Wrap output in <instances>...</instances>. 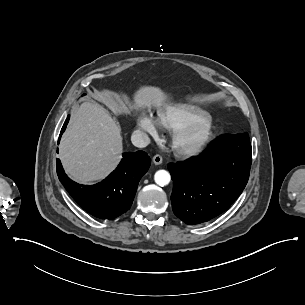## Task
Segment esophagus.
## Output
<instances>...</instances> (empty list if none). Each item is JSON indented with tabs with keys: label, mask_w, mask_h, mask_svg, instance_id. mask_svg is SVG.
<instances>
[{
	"label": "esophagus",
	"mask_w": 305,
	"mask_h": 305,
	"mask_svg": "<svg viewBox=\"0 0 305 305\" xmlns=\"http://www.w3.org/2000/svg\"><path fill=\"white\" fill-rule=\"evenodd\" d=\"M153 161H154V164L160 165L163 161V158L161 155L157 154L153 157Z\"/></svg>",
	"instance_id": "34e87169"
}]
</instances>
